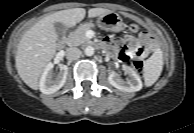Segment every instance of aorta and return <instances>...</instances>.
Here are the masks:
<instances>
[{"label": "aorta", "instance_id": "obj_1", "mask_svg": "<svg viewBox=\"0 0 194 133\" xmlns=\"http://www.w3.org/2000/svg\"><path fill=\"white\" fill-rule=\"evenodd\" d=\"M84 53L85 55L87 56H92L94 54V47L92 46H87L85 49H84Z\"/></svg>", "mask_w": 194, "mask_h": 133}]
</instances>
